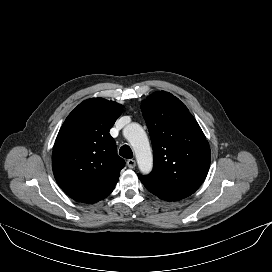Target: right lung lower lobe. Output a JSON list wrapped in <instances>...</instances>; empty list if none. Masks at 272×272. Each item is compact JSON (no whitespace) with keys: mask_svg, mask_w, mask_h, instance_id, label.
Listing matches in <instances>:
<instances>
[{"mask_svg":"<svg viewBox=\"0 0 272 272\" xmlns=\"http://www.w3.org/2000/svg\"><path fill=\"white\" fill-rule=\"evenodd\" d=\"M114 187H115V185L112 188H110L108 191H106L97 201H100V200L106 198L113 191Z\"/></svg>","mask_w":272,"mask_h":272,"instance_id":"1","label":"right lung lower lobe"}]
</instances>
